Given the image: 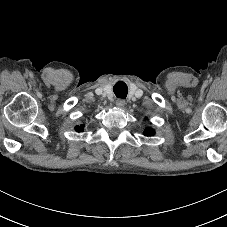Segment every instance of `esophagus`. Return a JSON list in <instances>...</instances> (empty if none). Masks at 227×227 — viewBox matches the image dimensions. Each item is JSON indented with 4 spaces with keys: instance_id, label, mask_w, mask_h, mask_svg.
<instances>
[{
    "instance_id": "obj_1",
    "label": "esophagus",
    "mask_w": 227,
    "mask_h": 227,
    "mask_svg": "<svg viewBox=\"0 0 227 227\" xmlns=\"http://www.w3.org/2000/svg\"><path fill=\"white\" fill-rule=\"evenodd\" d=\"M115 103H116V106L119 108H123L125 106V100L123 99H117Z\"/></svg>"
}]
</instances>
